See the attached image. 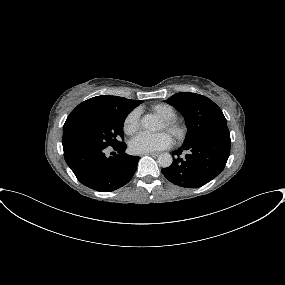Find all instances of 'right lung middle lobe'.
<instances>
[{
	"label": "right lung middle lobe",
	"instance_id": "dd1d6c3e",
	"mask_svg": "<svg viewBox=\"0 0 285 285\" xmlns=\"http://www.w3.org/2000/svg\"><path fill=\"white\" fill-rule=\"evenodd\" d=\"M130 111H114L91 117L73 129L66 146L91 145L115 147L121 145L124 138L123 124Z\"/></svg>",
	"mask_w": 285,
	"mask_h": 285
}]
</instances>
